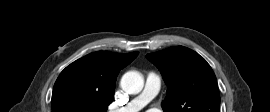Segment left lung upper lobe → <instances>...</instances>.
I'll return each instance as SVG.
<instances>
[{
    "mask_svg": "<svg viewBox=\"0 0 270 112\" xmlns=\"http://www.w3.org/2000/svg\"><path fill=\"white\" fill-rule=\"evenodd\" d=\"M146 57L158 67L168 86L161 104L164 112H219L216 76L198 53L177 46Z\"/></svg>",
    "mask_w": 270,
    "mask_h": 112,
    "instance_id": "5c2ea615",
    "label": "left lung upper lobe"
}]
</instances>
